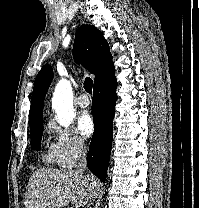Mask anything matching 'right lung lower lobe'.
Here are the masks:
<instances>
[{
    "instance_id": "obj_1",
    "label": "right lung lower lobe",
    "mask_w": 199,
    "mask_h": 208,
    "mask_svg": "<svg viewBox=\"0 0 199 208\" xmlns=\"http://www.w3.org/2000/svg\"><path fill=\"white\" fill-rule=\"evenodd\" d=\"M117 80L112 79L94 87L92 112L94 133L89 146L87 166L102 182H105L113 138V118Z\"/></svg>"
}]
</instances>
